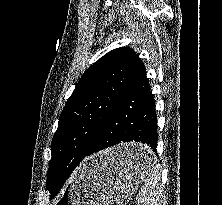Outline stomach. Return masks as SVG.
<instances>
[{
    "mask_svg": "<svg viewBox=\"0 0 222 205\" xmlns=\"http://www.w3.org/2000/svg\"><path fill=\"white\" fill-rule=\"evenodd\" d=\"M135 150L149 151V147L122 144L86 159L54 205H121L142 184L153 161L146 165L120 161L123 153Z\"/></svg>",
    "mask_w": 222,
    "mask_h": 205,
    "instance_id": "1",
    "label": "stomach"
}]
</instances>
